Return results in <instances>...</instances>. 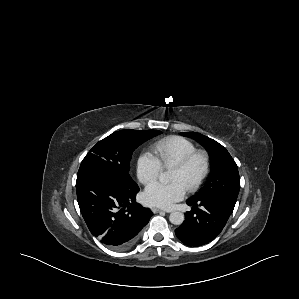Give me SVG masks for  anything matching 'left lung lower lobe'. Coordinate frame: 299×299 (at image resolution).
<instances>
[{
  "instance_id": "obj_1",
  "label": "left lung lower lobe",
  "mask_w": 299,
  "mask_h": 299,
  "mask_svg": "<svg viewBox=\"0 0 299 299\" xmlns=\"http://www.w3.org/2000/svg\"><path fill=\"white\" fill-rule=\"evenodd\" d=\"M187 204L193 206V210L185 213V221L175 230V234L189 246H201L212 241L222 231L234 209L216 198L200 201L189 199Z\"/></svg>"
}]
</instances>
